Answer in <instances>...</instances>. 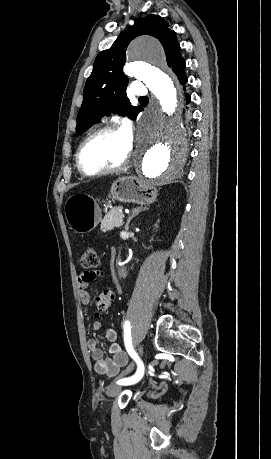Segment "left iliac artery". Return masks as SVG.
<instances>
[{
    "label": "left iliac artery",
    "instance_id": "obj_1",
    "mask_svg": "<svg viewBox=\"0 0 271 459\" xmlns=\"http://www.w3.org/2000/svg\"><path fill=\"white\" fill-rule=\"evenodd\" d=\"M130 323L128 321L125 322L124 324V342H125V347L128 352V354L131 356V358L134 359V361L138 364L137 365V372L134 373L133 377L130 378H124L120 379L117 381V384H120L122 387H130V386H135L136 383L140 382V378L144 376V366L142 361L140 360L139 356L135 352L132 346V341H131V330L129 329Z\"/></svg>",
    "mask_w": 271,
    "mask_h": 459
}]
</instances>
